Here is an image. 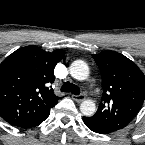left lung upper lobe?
Wrapping results in <instances>:
<instances>
[{
	"mask_svg": "<svg viewBox=\"0 0 145 145\" xmlns=\"http://www.w3.org/2000/svg\"><path fill=\"white\" fill-rule=\"evenodd\" d=\"M101 71L103 95L97 112L88 117L111 132L126 127L138 114L145 99V76L124 55L103 51L92 55Z\"/></svg>",
	"mask_w": 145,
	"mask_h": 145,
	"instance_id": "1",
	"label": "left lung upper lobe"
}]
</instances>
